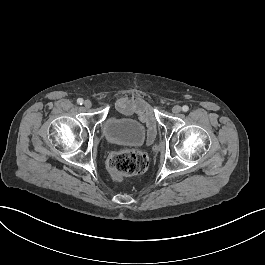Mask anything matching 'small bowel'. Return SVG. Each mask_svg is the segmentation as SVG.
Instances as JSON below:
<instances>
[{"label":"small bowel","mask_w":265,"mask_h":265,"mask_svg":"<svg viewBox=\"0 0 265 265\" xmlns=\"http://www.w3.org/2000/svg\"><path fill=\"white\" fill-rule=\"evenodd\" d=\"M117 109L122 113H130L135 111L140 115L141 120L146 121L147 124V144H150L155 137V124L153 119H155L154 111L150 110L149 106L143 104L138 98H132L130 100H125L121 98L116 102Z\"/></svg>","instance_id":"c3829d8e"}]
</instances>
